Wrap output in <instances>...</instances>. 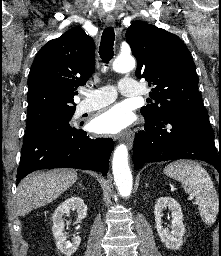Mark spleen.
Wrapping results in <instances>:
<instances>
[{
  "instance_id": "3e777b00",
  "label": "spleen",
  "mask_w": 221,
  "mask_h": 256,
  "mask_svg": "<svg viewBox=\"0 0 221 256\" xmlns=\"http://www.w3.org/2000/svg\"><path fill=\"white\" fill-rule=\"evenodd\" d=\"M164 173L181 181L186 193L195 197L200 216L208 225L216 221L219 198L207 171L191 161L177 160L164 168Z\"/></svg>"
}]
</instances>
